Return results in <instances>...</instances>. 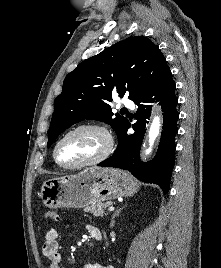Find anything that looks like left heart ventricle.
Returning <instances> with one entry per match:
<instances>
[{"mask_svg": "<svg viewBox=\"0 0 221 268\" xmlns=\"http://www.w3.org/2000/svg\"><path fill=\"white\" fill-rule=\"evenodd\" d=\"M106 146V139L96 130L85 129L68 136L58 149L59 160L66 165H77L98 156Z\"/></svg>", "mask_w": 221, "mask_h": 268, "instance_id": "left-heart-ventricle-1", "label": "left heart ventricle"}]
</instances>
